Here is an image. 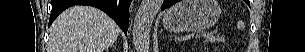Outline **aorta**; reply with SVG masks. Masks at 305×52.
Returning <instances> with one entry per match:
<instances>
[{
    "mask_svg": "<svg viewBox=\"0 0 305 52\" xmlns=\"http://www.w3.org/2000/svg\"><path fill=\"white\" fill-rule=\"evenodd\" d=\"M162 3L163 0H142L132 28L133 43L139 52L149 49L150 29Z\"/></svg>",
    "mask_w": 305,
    "mask_h": 52,
    "instance_id": "1",
    "label": "aorta"
}]
</instances>
